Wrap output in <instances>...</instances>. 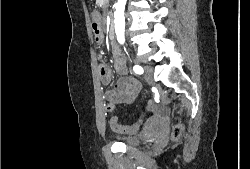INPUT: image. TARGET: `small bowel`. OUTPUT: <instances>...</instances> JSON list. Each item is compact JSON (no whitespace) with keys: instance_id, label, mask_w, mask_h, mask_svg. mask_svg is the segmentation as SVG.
I'll list each match as a JSON object with an SVG mask.
<instances>
[{"instance_id":"c3829d8e","label":"small bowel","mask_w":250,"mask_h":169,"mask_svg":"<svg viewBox=\"0 0 250 169\" xmlns=\"http://www.w3.org/2000/svg\"><path fill=\"white\" fill-rule=\"evenodd\" d=\"M114 67L121 77L116 82L113 89L105 93V98L109 103H131L139 93L140 83L128 76V67L126 57L118 51L116 46L112 45ZM101 80L104 84H109L112 79V72L106 64H100Z\"/></svg>"}]
</instances>
